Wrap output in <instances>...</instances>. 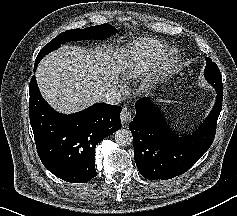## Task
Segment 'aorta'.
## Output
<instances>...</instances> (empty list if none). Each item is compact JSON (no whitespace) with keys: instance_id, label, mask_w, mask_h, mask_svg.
Masks as SVG:
<instances>
[{"instance_id":"aorta-1","label":"aorta","mask_w":237,"mask_h":216,"mask_svg":"<svg viewBox=\"0 0 237 216\" xmlns=\"http://www.w3.org/2000/svg\"><path fill=\"white\" fill-rule=\"evenodd\" d=\"M114 139L119 146L123 147L129 146L133 143L132 132L127 128L117 130L114 134Z\"/></svg>"}]
</instances>
